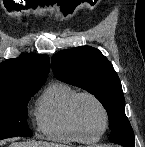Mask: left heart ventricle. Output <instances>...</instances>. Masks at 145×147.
<instances>
[{
	"label": "left heart ventricle",
	"mask_w": 145,
	"mask_h": 147,
	"mask_svg": "<svg viewBox=\"0 0 145 147\" xmlns=\"http://www.w3.org/2000/svg\"><path fill=\"white\" fill-rule=\"evenodd\" d=\"M78 117L81 126L89 135L98 134L104 126V117L101 109L90 98H82L78 102Z\"/></svg>",
	"instance_id": "b2bd125f"
}]
</instances>
